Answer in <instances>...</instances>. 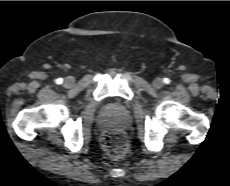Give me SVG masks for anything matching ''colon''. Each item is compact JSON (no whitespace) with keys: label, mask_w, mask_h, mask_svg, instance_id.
Returning a JSON list of instances; mask_svg holds the SVG:
<instances>
[{"label":"colon","mask_w":230,"mask_h":186,"mask_svg":"<svg viewBox=\"0 0 230 186\" xmlns=\"http://www.w3.org/2000/svg\"><path fill=\"white\" fill-rule=\"evenodd\" d=\"M102 146L110 157L119 159L127 152V139L122 131L109 129L102 136Z\"/></svg>","instance_id":"1"}]
</instances>
